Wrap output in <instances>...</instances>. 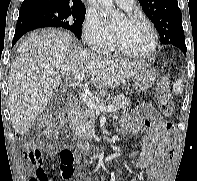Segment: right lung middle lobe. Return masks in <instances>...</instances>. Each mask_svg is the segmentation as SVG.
I'll list each match as a JSON object with an SVG mask.
<instances>
[{
    "label": "right lung middle lobe",
    "mask_w": 197,
    "mask_h": 181,
    "mask_svg": "<svg viewBox=\"0 0 197 181\" xmlns=\"http://www.w3.org/2000/svg\"><path fill=\"white\" fill-rule=\"evenodd\" d=\"M20 12L41 16L53 23L56 27L70 30L81 38V27L85 19V8L59 7L52 5H35Z\"/></svg>",
    "instance_id": "1"
}]
</instances>
